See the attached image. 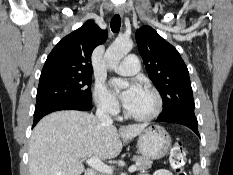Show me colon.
I'll return each mask as SVG.
<instances>
[{
    "instance_id": "5ec220e1",
    "label": "colon",
    "mask_w": 233,
    "mask_h": 175,
    "mask_svg": "<svg viewBox=\"0 0 233 175\" xmlns=\"http://www.w3.org/2000/svg\"><path fill=\"white\" fill-rule=\"evenodd\" d=\"M186 156L187 149L185 145L180 141L175 142L170 150L169 163L177 175H187L184 169Z\"/></svg>"
}]
</instances>
